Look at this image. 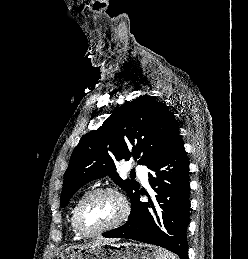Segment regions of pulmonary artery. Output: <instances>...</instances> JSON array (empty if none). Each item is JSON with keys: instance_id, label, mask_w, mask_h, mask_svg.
<instances>
[{"instance_id": "1", "label": "pulmonary artery", "mask_w": 248, "mask_h": 259, "mask_svg": "<svg viewBox=\"0 0 248 259\" xmlns=\"http://www.w3.org/2000/svg\"><path fill=\"white\" fill-rule=\"evenodd\" d=\"M136 171L140 174V178L142 182L146 185L147 184V175L142 166H136Z\"/></svg>"}]
</instances>
